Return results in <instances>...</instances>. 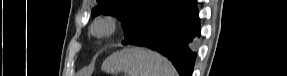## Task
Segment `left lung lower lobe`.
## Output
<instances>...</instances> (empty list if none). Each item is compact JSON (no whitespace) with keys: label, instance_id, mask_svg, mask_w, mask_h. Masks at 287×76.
Wrapping results in <instances>:
<instances>
[{"label":"left lung lower lobe","instance_id":"1","mask_svg":"<svg viewBox=\"0 0 287 76\" xmlns=\"http://www.w3.org/2000/svg\"><path fill=\"white\" fill-rule=\"evenodd\" d=\"M200 36L195 0H185L178 9L162 16L129 44L148 47L168 57L180 76H191L196 52L193 43Z\"/></svg>","mask_w":287,"mask_h":76}]
</instances>
